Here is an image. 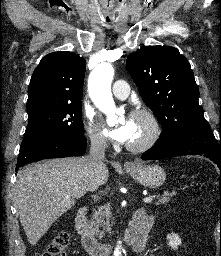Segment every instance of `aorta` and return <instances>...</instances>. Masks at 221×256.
<instances>
[{"instance_id": "1", "label": "aorta", "mask_w": 221, "mask_h": 256, "mask_svg": "<svg viewBox=\"0 0 221 256\" xmlns=\"http://www.w3.org/2000/svg\"><path fill=\"white\" fill-rule=\"evenodd\" d=\"M113 77V66L108 63H102L91 72L88 80L89 95L99 110L108 116V120L115 118V113L117 112L111 93ZM120 255V247L118 246L114 251V256Z\"/></svg>"}]
</instances>
